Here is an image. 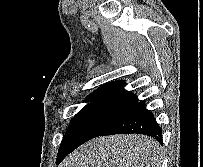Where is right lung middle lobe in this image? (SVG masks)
Masks as SVG:
<instances>
[{"mask_svg": "<svg viewBox=\"0 0 203 167\" xmlns=\"http://www.w3.org/2000/svg\"><path fill=\"white\" fill-rule=\"evenodd\" d=\"M131 108L91 101L71 120L61 145L72 152L84 142L102 135Z\"/></svg>", "mask_w": 203, "mask_h": 167, "instance_id": "right-lung-middle-lobe-1", "label": "right lung middle lobe"}]
</instances>
